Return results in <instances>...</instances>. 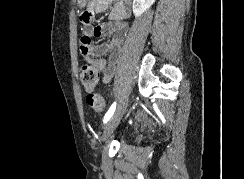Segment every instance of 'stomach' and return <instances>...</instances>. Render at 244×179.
Returning <instances> with one entry per match:
<instances>
[{"mask_svg": "<svg viewBox=\"0 0 244 179\" xmlns=\"http://www.w3.org/2000/svg\"><path fill=\"white\" fill-rule=\"evenodd\" d=\"M79 1V7L80 8H83L84 7V4L83 3H87L88 0H78Z\"/></svg>", "mask_w": 244, "mask_h": 179, "instance_id": "stomach-1", "label": "stomach"}]
</instances>
